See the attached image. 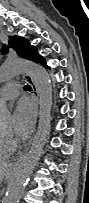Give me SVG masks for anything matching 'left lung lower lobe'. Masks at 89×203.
I'll use <instances>...</instances> for the list:
<instances>
[{"mask_svg": "<svg viewBox=\"0 0 89 203\" xmlns=\"http://www.w3.org/2000/svg\"><path fill=\"white\" fill-rule=\"evenodd\" d=\"M37 62L41 63V64L44 65L46 68H49V67L46 65V62H45L44 57L40 56Z\"/></svg>", "mask_w": 89, "mask_h": 203, "instance_id": "obj_1", "label": "left lung lower lobe"}]
</instances>
